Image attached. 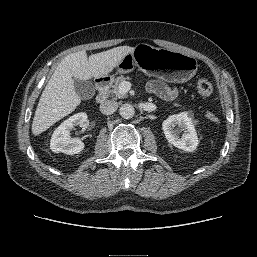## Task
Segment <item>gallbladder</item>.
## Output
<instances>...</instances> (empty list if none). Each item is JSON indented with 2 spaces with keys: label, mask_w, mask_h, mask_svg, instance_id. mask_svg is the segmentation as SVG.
Masks as SVG:
<instances>
[{
  "label": "gallbladder",
  "mask_w": 257,
  "mask_h": 257,
  "mask_svg": "<svg viewBox=\"0 0 257 257\" xmlns=\"http://www.w3.org/2000/svg\"><path fill=\"white\" fill-rule=\"evenodd\" d=\"M74 87L78 96L83 99H90L95 94V87L91 81L74 79Z\"/></svg>",
  "instance_id": "bac80fb5"
}]
</instances>
